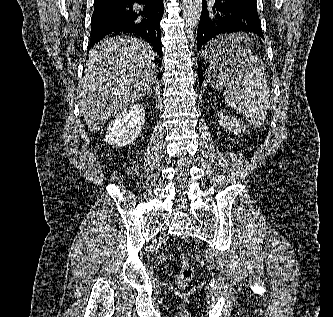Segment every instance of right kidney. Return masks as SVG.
<instances>
[{"mask_svg": "<svg viewBox=\"0 0 333 317\" xmlns=\"http://www.w3.org/2000/svg\"><path fill=\"white\" fill-rule=\"evenodd\" d=\"M145 123L142 105L134 104L120 112L107 128L104 141L113 146L123 147L133 143Z\"/></svg>", "mask_w": 333, "mask_h": 317, "instance_id": "ca27d5eb", "label": "right kidney"}]
</instances>
